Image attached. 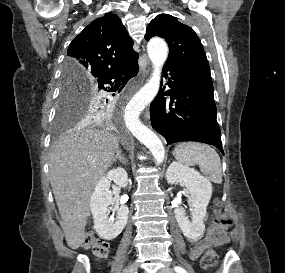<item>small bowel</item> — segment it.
I'll return each mask as SVG.
<instances>
[{
    "instance_id": "obj_1",
    "label": "small bowel",
    "mask_w": 285,
    "mask_h": 273,
    "mask_svg": "<svg viewBox=\"0 0 285 273\" xmlns=\"http://www.w3.org/2000/svg\"><path fill=\"white\" fill-rule=\"evenodd\" d=\"M229 241L225 231L215 222H212L208 229V234L204 242L195 247L192 251V257L197 258L203 250L209 245H222Z\"/></svg>"
}]
</instances>
